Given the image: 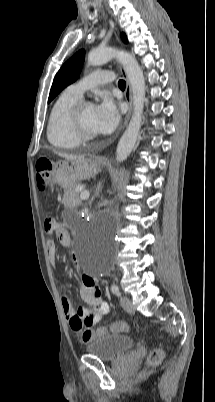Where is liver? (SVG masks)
<instances>
[{
	"instance_id": "liver-1",
	"label": "liver",
	"mask_w": 215,
	"mask_h": 402,
	"mask_svg": "<svg viewBox=\"0 0 215 402\" xmlns=\"http://www.w3.org/2000/svg\"><path fill=\"white\" fill-rule=\"evenodd\" d=\"M59 156L65 158V160H75L78 159L81 156H76V155H68V154H63V153H59Z\"/></svg>"
}]
</instances>
